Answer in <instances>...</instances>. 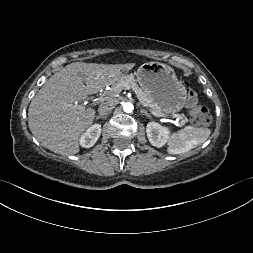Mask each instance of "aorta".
Masks as SVG:
<instances>
[{
	"instance_id": "762f6f07",
	"label": "aorta",
	"mask_w": 253,
	"mask_h": 253,
	"mask_svg": "<svg viewBox=\"0 0 253 253\" xmlns=\"http://www.w3.org/2000/svg\"><path fill=\"white\" fill-rule=\"evenodd\" d=\"M133 109H134V106L130 102H126V103L123 104V110H124V112L131 113L133 111Z\"/></svg>"
}]
</instances>
